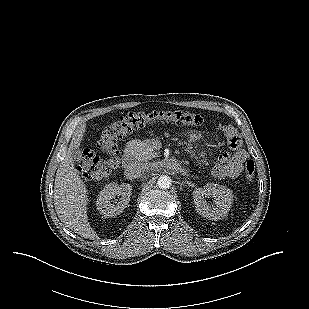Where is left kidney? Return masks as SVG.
Masks as SVG:
<instances>
[{
    "label": "left kidney",
    "instance_id": "left-kidney-1",
    "mask_svg": "<svg viewBox=\"0 0 309 309\" xmlns=\"http://www.w3.org/2000/svg\"><path fill=\"white\" fill-rule=\"evenodd\" d=\"M207 195L215 199L213 208L209 207L204 199ZM193 199L198 214L210 220H219L227 216L232 205L233 194L223 185L209 183L204 188L194 190Z\"/></svg>",
    "mask_w": 309,
    "mask_h": 309
}]
</instances>
